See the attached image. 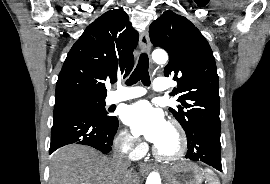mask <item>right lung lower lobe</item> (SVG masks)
<instances>
[{"label": "right lung lower lobe", "instance_id": "right-lung-lower-lobe-1", "mask_svg": "<svg viewBox=\"0 0 270 184\" xmlns=\"http://www.w3.org/2000/svg\"><path fill=\"white\" fill-rule=\"evenodd\" d=\"M53 120L49 154L72 143L108 153L119 126L117 118L105 123L78 107L54 109Z\"/></svg>", "mask_w": 270, "mask_h": 184}]
</instances>
